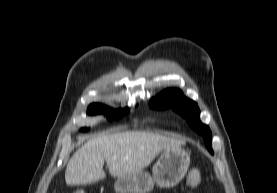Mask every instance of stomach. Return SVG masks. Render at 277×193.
<instances>
[{
	"instance_id": "obj_1",
	"label": "stomach",
	"mask_w": 277,
	"mask_h": 193,
	"mask_svg": "<svg viewBox=\"0 0 277 193\" xmlns=\"http://www.w3.org/2000/svg\"><path fill=\"white\" fill-rule=\"evenodd\" d=\"M190 165V154L180 146L166 148L154 164L151 176L140 171L128 177L118 178L114 184L117 193H149L154 185L171 188L185 176Z\"/></svg>"
}]
</instances>
